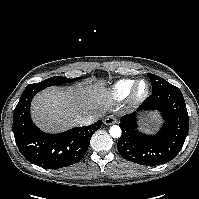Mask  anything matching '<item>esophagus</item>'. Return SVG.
<instances>
[{"label": "esophagus", "mask_w": 199, "mask_h": 199, "mask_svg": "<svg viewBox=\"0 0 199 199\" xmlns=\"http://www.w3.org/2000/svg\"><path fill=\"white\" fill-rule=\"evenodd\" d=\"M115 123H117V119L114 115H109L104 119L105 125H113Z\"/></svg>", "instance_id": "obj_1"}]
</instances>
